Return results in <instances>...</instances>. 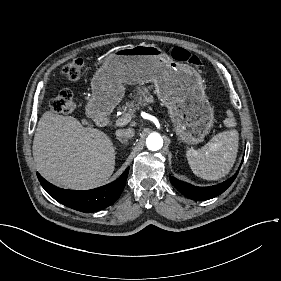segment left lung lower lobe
<instances>
[{
    "label": "left lung lower lobe",
    "instance_id": "0a47b994",
    "mask_svg": "<svg viewBox=\"0 0 281 281\" xmlns=\"http://www.w3.org/2000/svg\"><path fill=\"white\" fill-rule=\"evenodd\" d=\"M238 171L230 179L223 183L210 187H197L186 182L180 181L173 176H170L172 185L186 197L193 200H208L223 193L235 180Z\"/></svg>",
    "mask_w": 281,
    "mask_h": 281
}]
</instances>
